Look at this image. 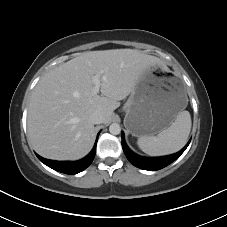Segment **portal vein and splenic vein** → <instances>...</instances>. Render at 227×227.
<instances>
[{
    "label": "portal vein and splenic vein",
    "instance_id": "1",
    "mask_svg": "<svg viewBox=\"0 0 227 227\" xmlns=\"http://www.w3.org/2000/svg\"><path fill=\"white\" fill-rule=\"evenodd\" d=\"M92 82L94 83L93 92L94 94H97L99 92L100 85H101L100 76L99 75L92 76Z\"/></svg>",
    "mask_w": 227,
    "mask_h": 227
}]
</instances>
